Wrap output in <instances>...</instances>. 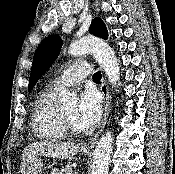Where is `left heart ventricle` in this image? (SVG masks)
Wrapping results in <instances>:
<instances>
[{
	"label": "left heart ventricle",
	"instance_id": "1",
	"mask_svg": "<svg viewBox=\"0 0 175 174\" xmlns=\"http://www.w3.org/2000/svg\"><path fill=\"white\" fill-rule=\"evenodd\" d=\"M75 110H76V105L72 104L70 106H67L65 108L62 109L64 115L69 119V121L72 123V125L77 128V129H81L76 121H75Z\"/></svg>",
	"mask_w": 175,
	"mask_h": 174
}]
</instances>
